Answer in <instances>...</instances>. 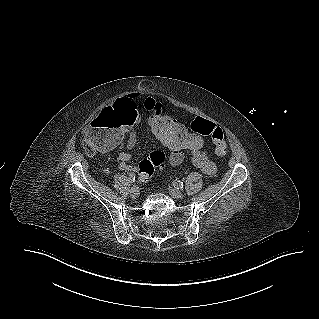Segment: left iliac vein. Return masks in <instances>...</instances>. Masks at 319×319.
<instances>
[{
	"label": "left iliac vein",
	"instance_id": "4c4485c4",
	"mask_svg": "<svg viewBox=\"0 0 319 319\" xmlns=\"http://www.w3.org/2000/svg\"><path fill=\"white\" fill-rule=\"evenodd\" d=\"M168 191L174 199H181L183 197V194L175 188L169 187Z\"/></svg>",
	"mask_w": 319,
	"mask_h": 319
}]
</instances>
